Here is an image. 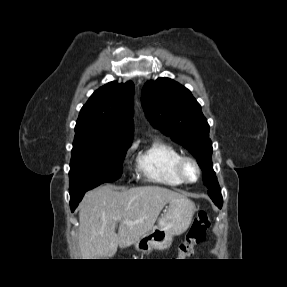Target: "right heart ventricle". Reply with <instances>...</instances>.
Wrapping results in <instances>:
<instances>
[{
  "label": "right heart ventricle",
  "mask_w": 287,
  "mask_h": 287,
  "mask_svg": "<svg viewBox=\"0 0 287 287\" xmlns=\"http://www.w3.org/2000/svg\"><path fill=\"white\" fill-rule=\"evenodd\" d=\"M182 156L174 145L156 139L139 152L136 164L146 180L176 187L183 184L176 173V165Z\"/></svg>",
  "instance_id": "obj_1"
}]
</instances>
